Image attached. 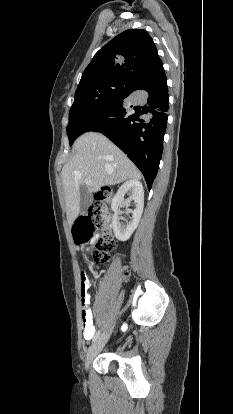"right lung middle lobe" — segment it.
I'll return each instance as SVG.
<instances>
[{
	"label": "right lung middle lobe",
	"mask_w": 233,
	"mask_h": 414,
	"mask_svg": "<svg viewBox=\"0 0 233 414\" xmlns=\"http://www.w3.org/2000/svg\"><path fill=\"white\" fill-rule=\"evenodd\" d=\"M130 83L127 80L106 79L76 91L67 126L70 145L80 135L83 124L122 97Z\"/></svg>",
	"instance_id": "obj_1"
}]
</instances>
